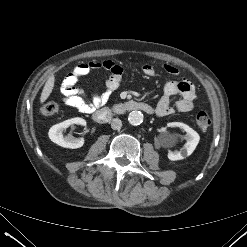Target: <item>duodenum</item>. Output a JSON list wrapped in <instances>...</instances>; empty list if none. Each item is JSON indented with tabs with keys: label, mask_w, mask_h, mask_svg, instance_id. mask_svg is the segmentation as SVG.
<instances>
[{
	"label": "duodenum",
	"mask_w": 247,
	"mask_h": 247,
	"mask_svg": "<svg viewBox=\"0 0 247 247\" xmlns=\"http://www.w3.org/2000/svg\"><path fill=\"white\" fill-rule=\"evenodd\" d=\"M131 111H141L151 115L155 113V108L145 102L129 100L115 104L112 107H105L95 111L93 113V119L100 124H104L110 121L114 116L123 115Z\"/></svg>",
	"instance_id": "obj_1"
}]
</instances>
